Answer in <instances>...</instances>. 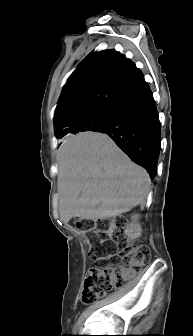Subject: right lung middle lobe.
I'll list each match as a JSON object with an SVG mask.
<instances>
[{"label":"right lung middle lobe","mask_w":193,"mask_h":336,"mask_svg":"<svg viewBox=\"0 0 193 336\" xmlns=\"http://www.w3.org/2000/svg\"><path fill=\"white\" fill-rule=\"evenodd\" d=\"M110 109H100L89 114L83 115L73 122L72 130L76 133L81 131L98 132L105 124Z\"/></svg>","instance_id":"obj_1"}]
</instances>
